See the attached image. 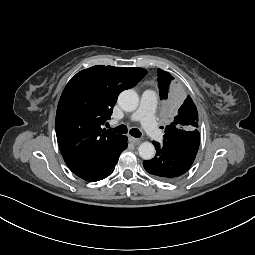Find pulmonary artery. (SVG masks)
Instances as JSON below:
<instances>
[{
	"label": "pulmonary artery",
	"mask_w": 255,
	"mask_h": 255,
	"mask_svg": "<svg viewBox=\"0 0 255 255\" xmlns=\"http://www.w3.org/2000/svg\"><path fill=\"white\" fill-rule=\"evenodd\" d=\"M157 97L152 90H146L141 96L139 108L130 116L132 121H140L147 134L155 140L162 138V133L155 121Z\"/></svg>",
	"instance_id": "obj_1"
}]
</instances>
